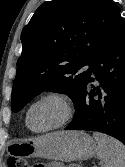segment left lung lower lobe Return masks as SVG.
Listing matches in <instances>:
<instances>
[{"label": "left lung lower lobe", "instance_id": "obj_1", "mask_svg": "<svg viewBox=\"0 0 125 167\" xmlns=\"http://www.w3.org/2000/svg\"><path fill=\"white\" fill-rule=\"evenodd\" d=\"M94 72L100 87L89 85ZM77 112L65 130L98 131L125 144V23L117 17L90 66Z\"/></svg>", "mask_w": 125, "mask_h": 167}]
</instances>
